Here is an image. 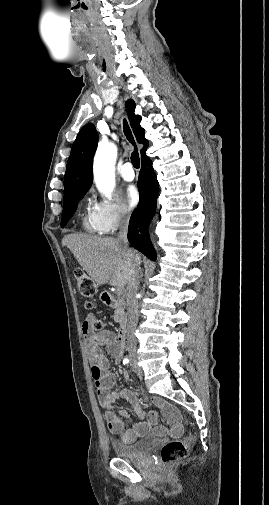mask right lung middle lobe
Instances as JSON below:
<instances>
[{"label":"right lung middle lobe","mask_w":269,"mask_h":505,"mask_svg":"<svg viewBox=\"0 0 269 505\" xmlns=\"http://www.w3.org/2000/svg\"><path fill=\"white\" fill-rule=\"evenodd\" d=\"M87 191H83L81 193H78L66 200H64L63 203V213H62V221H61V227H64L69 219L72 217L73 213L75 212L78 201L83 198V196L86 194Z\"/></svg>","instance_id":"obj_1"}]
</instances>
